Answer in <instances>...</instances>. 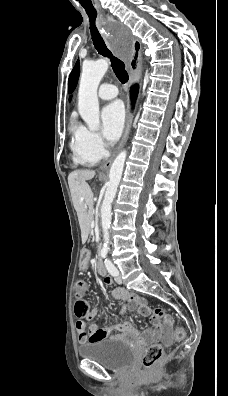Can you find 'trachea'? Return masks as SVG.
I'll return each instance as SVG.
<instances>
[{
	"instance_id": "1",
	"label": "trachea",
	"mask_w": 228,
	"mask_h": 396,
	"mask_svg": "<svg viewBox=\"0 0 228 396\" xmlns=\"http://www.w3.org/2000/svg\"><path fill=\"white\" fill-rule=\"evenodd\" d=\"M86 13L90 20V31L95 49L98 51L100 55L110 59L111 67L116 77L119 79L121 83L123 84L126 83L129 79V76L127 71L125 70V64L121 60H119L118 58L112 55V53L107 48L101 34L99 33L95 25V20L97 18V11L96 10L86 11Z\"/></svg>"
}]
</instances>
